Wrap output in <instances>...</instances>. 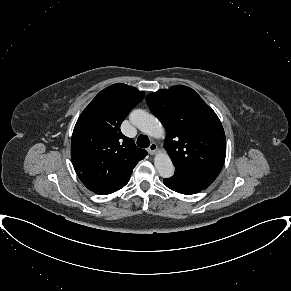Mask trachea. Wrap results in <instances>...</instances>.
<instances>
[{
  "instance_id": "1",
  "label": "trachea",
  "mask_w": 291,
  "mask_h": 291,
  "mask_svg": "<svg viewBox=\"0 0 291 291\" xmlns=\"http://www.w3.org/2000/svg\"><path fill=\"white\" fill-rule=\"evenodd\" d=\"M150 145V140L146 135H140L137 139V146L147 148Z\"/></svg>"
}]
</instances>
